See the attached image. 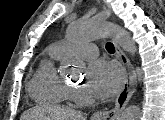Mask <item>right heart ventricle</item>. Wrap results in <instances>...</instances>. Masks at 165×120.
<instances>
[{
	"mask_svg": "<svg viewBox=\"0 0 165 120\" xmlns=\"http://www.w3.org/2000/svg\"><path fill=\"white\" fill-rule=\"evenodd\" d=\"M65 54L55 46L40 60L29 83L31 97L40 103H67L74 97V89L58 72V63Z\"/></svg>",
	"mask_w": 165,
	"mask_h": 120,
	"instance_id": "right-heart-ventricle-1",
	"label": "right heart ventricle"
}]
</instances>
